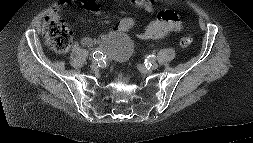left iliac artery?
<instances>
[{
	"instance_id": "1",
	"label": "left iliac artery",
	"mask_w": 253,
	"mask_h": 143,
	"mask_svg": "<svg viewBox=\"0 0 253 143\" xmlns=\"http://www.w3.org/2000/svg\"><path fill=\"white\" fill-rule=\"evenodd\" d=\"M156 60V57H155V55H149L148 57H147V59L145 60V65L147 66V64L149 63L150 65H152L151 64V62H154ZM148 69H150V67L148 68Z\"/></svg>"
}]
</instances>
